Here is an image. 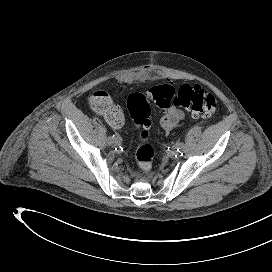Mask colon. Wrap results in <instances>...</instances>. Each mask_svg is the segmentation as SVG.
Segmentation results:
<instances>
[{
    "label": "colon",
    "mask_w": 272,
    "mask_h": 272,
    "mask_svg": "<svg viewBox=\"0 0 272 272\" xmlns=\"http://www.w3.org/2000/svg\"><path fill=\"white\" fill-rule=\"evenodd\" d=\"M93 108L105 110L108 105V95L105 92H96L91 97ZM150 104L161 108L172 105L191 109L195 116L212 117L217 110L215 96L199 85H182L175 89L169 84L151 88L146 93H133L128 97L127 108L133 123L140 129V144L137 147L134 159L137 166L143 171L153 167L156 149L148 142L150 128Z\"/></svg>",
    "instance_id": "1"
}]
</instances>
